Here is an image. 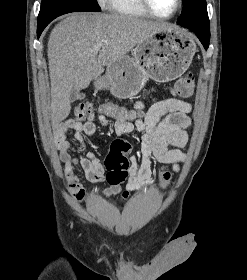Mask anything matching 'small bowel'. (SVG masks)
<instances>
[{"mask_svg": "<svg viewBox=\"0 0 247 280\" xmlns=\"http://www.w3.org/2000/svg\"><path fill=\"white\" fill-rule=\"evenodd\" d=\"M138 110H144L145 115L135 121L116 120L113 130L117 136L138 132L141 134V158L131 156V165L125 189L117 191L105 188L104 198H113L121 194L127 200L131 193L150 185L152 175V159L173 167L175 172L180 169L185 154L181 151L188 141L186 129L190 125L188 102L169 98L146 107L143 102L136 104ZM97 125L107 127L109 120L106 115H99L96 122L68 119L55 129V143L60 151L61 160L65 164L67 184L77 200H83L85 193L76 175V169L81 167L85 177L90 182L106 180L104 165L92 152L81 154L86 147L85 136L94 139ZM71 132V138L68 133ZM169 146L175 148L169 149Z\"/></svg>", "mask_w": 247, "mask_h": 280, "instance_id": "c3829d8e", "label": "small bowel"}]
</instances>
